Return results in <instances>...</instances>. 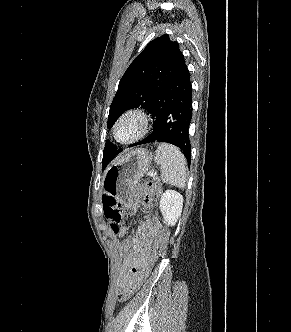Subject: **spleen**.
I'll return each instance as SVG.
<instances>
[{"label": "spleen", "instance_id": "obj_1", "mask_svg": "<svg viewBox=\"0 0 291 332\" xmlns=\"http://www.w3.org/2000/svg\"><path fill=\"white\" fill-rule=\"evenodd\" d=\"M154 161L160 166L163 182L179 188L186 186L187 162L179 148L167 143L160 144Z\"/></svg>", "mask_w": 291, "mask_h": 332}]
</instances>
